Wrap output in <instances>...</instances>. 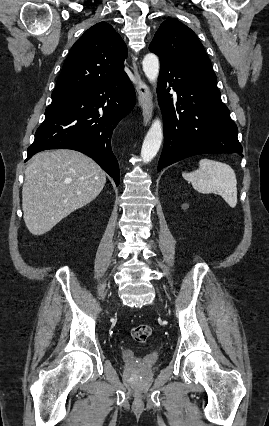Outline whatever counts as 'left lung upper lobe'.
Masks as SVG:
<instances>
[{"instance_id": "obj_1", "label": "left lung upper lobe", "mask_w": 269, "mask_h": 426, "mask_svg": "<svg viewBox=\"0 0 269 426\" xmlns=\"http://www.w3.org/2000/svg\"><path fill=\"white\" fill-rule=\"evenodd\" d=\"M149 49L160 61H169L216 77L205 49L196 34L176 19L165 20L157 30Z\"/></svg>"}]
</instances>
